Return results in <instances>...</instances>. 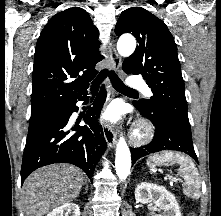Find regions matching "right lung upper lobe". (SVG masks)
<instances>
[{
  "label": "right lung upper lobe",
  "mask_w": 221,
  "mask_h": 216,
  "mask_svg": "<svg viewBox=\"0 0 221 216\" xmlns=\"http://www.w3.org/2000/svg\"><path fill=\"white\" fill-rule=\"evenodd\" d=\"M98 29L82 8L54 15L42 30L34 54L31 115L53 110L84 93L103 59Z\"/></svg>",
  "instance_id": "1"
}]
</instances>
